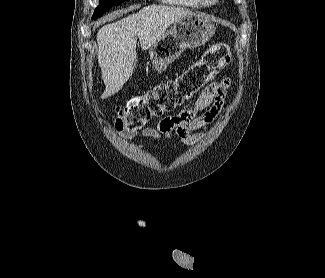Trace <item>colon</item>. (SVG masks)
Returning a JSON list of instances; mask_svg holds the SVG:
<instances>
[{
    "label": "colon",
    "mask_w": 325,
    "mask_h": 278,
    "mask_svg": "<svg viewBox=\"0 0 325 278\" xmlns=\"http://www.w3.org/2000/svg\"><path fill=\"white\" fill-rule=\"evenodd\" d=\"M232 61L225 43H217L178 77L162 82L153 89L129 99L116 108L118 131L140 130L151 119L170 112L191 99Z\"/></svg>",
    "instance_id": "colon-1"
}]
</instances>
